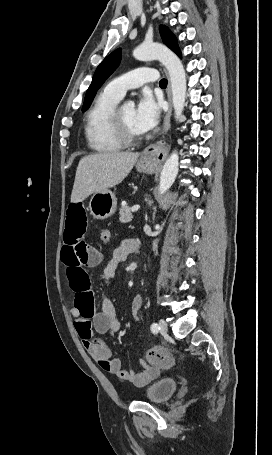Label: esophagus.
I'll return each mask as SVG.
<instances>
[{
	"label": "esophagus",
	"instance_id": "obj_1",
	"mask_svg": "<svg viewBox=\"0 0 272 455\" xmlns=\"http://www.w3.org/2000/svg\"><path fill=\"white\" fill-rule=\"evenodd\" d=\"M167 95H168L169 109H168V112L164 119L163 133H167V131L170 128V117H171V112H172V104H171L172 94H171L170 84L168 85ZM169 149H170V147L166 143V141L160 140L154 144H150L149 146H147L144 149L142 155H143V158L146 160H151L156 163H162L166 159V157L169 153Z\"/></svg>",
	"mask_w": 272,
	"mask_h": 455
}]
</instances>
